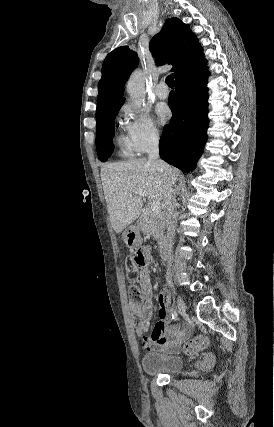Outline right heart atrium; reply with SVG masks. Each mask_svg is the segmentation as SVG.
I'll return each instance as SVG.
<instances>
[{"label":"right heart atrium","instance_id":"obj_1","mask_svg":"<svg viewBox=\"0 0 274 427\" xmlns=\"http://www.w3.org/2000/svg\"><path fill=\"white\" fill-rule=\"evenodd\" d=\"M125 132L136 152H146L156 146L160 140L159 132L143 112L126 122Z\"/></svg>","mask_w":274,"mask_h":427}]
</instances>
